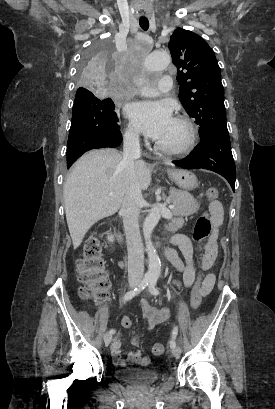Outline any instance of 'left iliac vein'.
<instances>
[{
    "mask_svg": "<svg viewBox=\"0 0 275 409\" xmlns=\"http://www.w3.org/2000/svg\"><path fill=\"white\" fill-rule=\"evenodd\" d=\"M180 353H181V350H180V348L179 347H175V348H172V355L173 356H179L180 355Z\"/></svg>",
    "mask_w": 275,
    "mask_h": 409,
    "instance_id": "obj_1",
    "label": "left iliac vein"
}]
</instances>
